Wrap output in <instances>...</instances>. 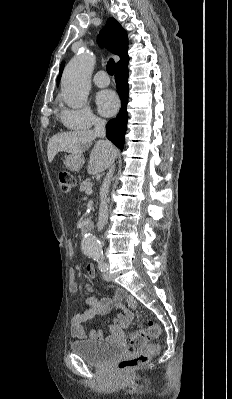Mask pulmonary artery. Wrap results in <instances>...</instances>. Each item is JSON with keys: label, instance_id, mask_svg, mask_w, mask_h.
I'll list each match as a JSON object with an SVG mask.
<instances>
[{"label": "pulmonary artery", "instance_id": "obj_1", "mask_svg": "<svg viewBox=\"0 0 232 399\" xmlns=\"http://www.w3.org/2000/svg\"><path fill=\"white\" fill-rule=\"evenodd\" d=\"M98 77H94V83H96V90H105L106 86L109 85V77L104 73L103 69L97 70Z\"/></svg>", "mask_w": 232, "mask_h": 399}]
</instances>
